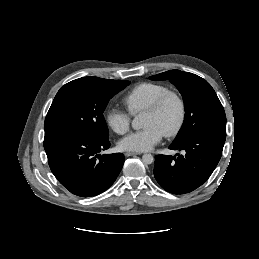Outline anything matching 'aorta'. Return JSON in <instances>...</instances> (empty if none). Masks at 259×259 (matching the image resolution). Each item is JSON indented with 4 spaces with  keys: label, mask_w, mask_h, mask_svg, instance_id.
I'll return each mask as SVG.
<instances>
[{
    "label": "aorta",
    "mask_w": 259,
    "mask_h": 259,
    "mask_svg": "<svg viewBox=\"0 0 259 259\" xmlns=\"http://www.w3.org/2000/svg\"><path fill=\"white\" fill-rule=\"evenodd\" d=\"M132 128L135 130H139L141 128H143L144 126V118L142 114H138L134 117V119L132 120ZM142 161L144 164H151L154 161V157L151 154H144L142 156Z\"/></svg>",
    "instance_id": "aorta-1"
}]
</instances>
